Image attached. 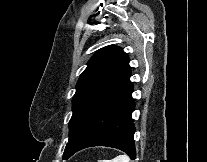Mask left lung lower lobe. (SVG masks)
Segmentation results:
<instances>
[{"label":"left lung lower lobe","mask_w":207,"mask_h":162,"mask_svg":"<svg viewBox=\"0 0 207 162\" xmlns=\"http://www.w3.org/2000/svg\"><path fill=\"white\" fill-rule=\"evenodd\" d=\"M132 92L133 86L129 80L100 105L64 153V159L67 160L77 151L87 147L107 146L122 150L134 160L136 151L133 139L135 127L132 122Z\"/></svg>","instance_id":"0a47b994"}]
</instances>
